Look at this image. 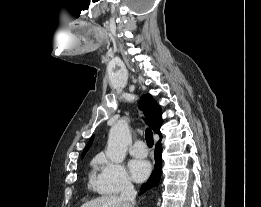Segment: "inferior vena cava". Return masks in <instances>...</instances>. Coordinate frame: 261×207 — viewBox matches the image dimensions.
Returning a JSON list of instances; mask_svg holds the SVG:
<instances>
[{
    "label": "inferior vena cava",
    "instance_id": "1",
    "mask_svg": "<svg viewBox=\"0 0 261 207\" xmlns=\"http://www.w3.org/2000/svg\"><path fill=\"white\" fill-rule=\"evenodd\" d=\"M136 194L137 192L132 183L130 181H125L122 186L120 198L124 201L130 202L132 204L131 207H133Z\"/></svg>",
    "mask_w": 261,
    "mask_h": 207
}]
</instances>
